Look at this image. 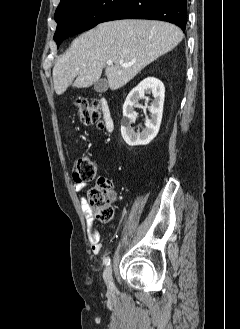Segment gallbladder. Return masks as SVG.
I'll list each match as a JSON object with an SVG mask.
<instances>
[{
	"instance_id": "obj_1",
	"label": "gallbladder",
	"mask_w": 240,
	"mask_h": 329,
	"mask_svg": "<svg viewBox=\"0 0 240 329\" xmlns=\"http://www.w3.org/2000/svg\"><path fill=\"white\" fill-rule=\"evenodd\" d=\"M108 89V82L106 79H99L95 84H94V90L99 93H103L107 91Z\"/></svg>"
}]
</instances>
